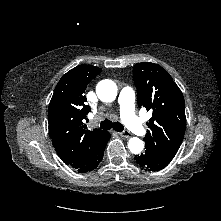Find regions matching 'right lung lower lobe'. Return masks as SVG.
<instances>
[{"instance_id":"right-lung-lower-lobe-1","label":"right lung lower lobe","mask_w":221,"mask_h":221,"mask_svg":"<svg viewBox=\"0 0 221 221\" xmlns=\"http://www.w3.org/2000/svg\"><path fill=\"white\" fill-rule=\"evenodd\" d=\"M109 139H110V133L106 131L104 138L102 139V141L98 145L92 158L90 160H88L82 167L78 168L77 169L78 172L85 173V172L95 169L98 166V164L100 163V161L103 158L104 150H105L106 144L109 141Z\"/></svg>"}]
</instances>
